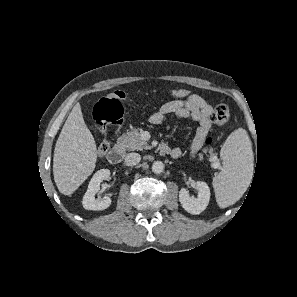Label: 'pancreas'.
I'll use <instances>...</instances> for the list:
<instances>
[{"mask_svg":"<svg viewBox=\"0 0 297 297\" xmlns=\"http://www.w3.org/2000/svg\"><path fill=\"white\" fill-rule=\"evenodd\" d=\"M117 144L127 151L150 149L149 144L141 138V129H133L118 138Z\"/></svg>","mask_w":297,"mask_h":297,"instance_id":"cf45deb5","label":"pancreas"}]
</instances>
